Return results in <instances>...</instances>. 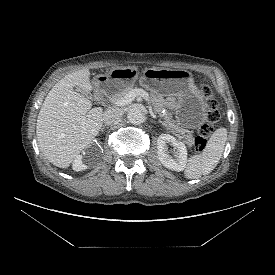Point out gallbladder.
Listing matches in <instances>:
<instances>
[{"label":"gallbladder","instance_id":"bac80fb5","mask_svg":"<svg viewBox=\"0 0 275 275\" xmlns=\"http://www.w3.org/2000/svg\"><path fill=\"white\" fill-rule=\"evenodd\" d=\"M74 90L77 91L78 93H80V94L86 96V97H89L88 93H86L85 91H83V90H81V89H79V88H74Z\"/></svg>","mask_w":275,"mask_h":275}]
</instances>
